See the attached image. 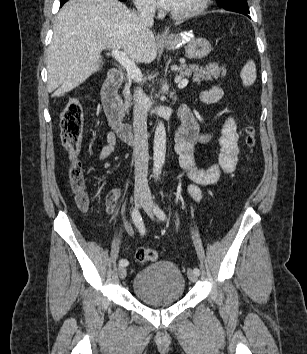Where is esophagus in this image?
I'll return each mask as SVG.
<instances>
[{
  "label": "esophagus",
  "mask_w": 307,
  "mask_h": 354,
  "mask_svg": "<svg viewBox=\"0 0 307 354\" xmlns=\"http://www.w3.org/2000/svg\"><path fill=\"white\" fill-rule=\"evenodd\" d=\"M158 38L163 39V38H165V35L163 33L158 34Z\"/></svg>",
  "instance_id": "1"
}]
</instances>
